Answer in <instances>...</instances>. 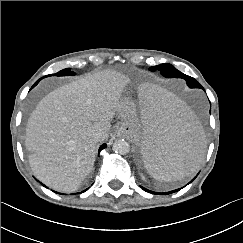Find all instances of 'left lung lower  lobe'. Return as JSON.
I'll return each mask as SVG.
<instances>
[{
    "label": "left lung lower lobe",
    "instance_id": "left-lung-lower-lobe-1",
    "mask_svg": "<svg viewBox=\"0 0 243 243\" xmlns=\"http://www.w3.org/2000/svg\"><path fill=\"white\" fill-rule=\"evenodd\" d=\"M187 85H188L190 88H197V87H199V88L203 89V87H202L201 85L196 87V85H192V84L189 83V82L187 83ZM195 178H196V177H195ZM195 178H194V179H195ZM194 179H193V180H194ZM193 180H192V181H193ZM192 181H191V182H192ZM141 188H142L143 190H145L146 192H149V193L160 194V193H155V192H152V191H150V190H147V189H145V188H143V187H141ZM178 190H180V189L173 190V191H170V192H166V193H163V194H171V193H174V192H176V191H178Z\"/></svg>",
    "mask_w": 243,
    "mask_h": 243
}]
</instances>
